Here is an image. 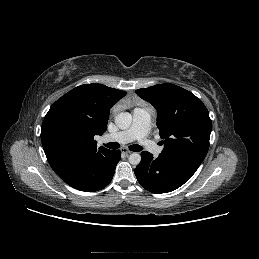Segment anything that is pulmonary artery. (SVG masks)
Instances as JSON below:
<instances>
[{"label": "pulmonary artery", "instance_id": "pulmonary-artery-1", "mask_svg": "<svg viewBox=\"0 0 259 259\" xmlns=\"http://www.w3.org/2000/svg\"><path fill=\"white\" fill-rule=\"evenodd\" d=\"M149 122L150 110L148 108H136L133 111V123L130 128L113 134H107L103 140L122 144L137 140L140 145L154 155H159L162 152V148L147 137Z\"/></svg>", "mask_w": 259, "mask_h": 259}]
</instances>
